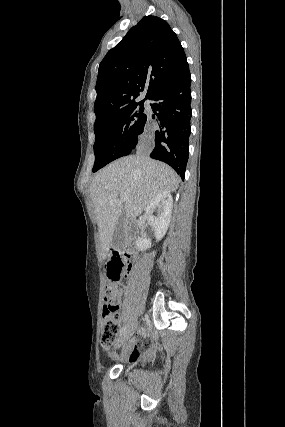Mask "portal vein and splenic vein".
<instances>
[{
    "label": "portal vein and splenic vein",
    "mask_w": 285,
    "mask_h": 427,
    "mask_svg": "<svg viewBox=\"0 0 285 427\" xmlns=\"http://www.w3.org/2000/svg\"><path fill=\"white\" fill-rule=\"evenodd\" d=\"M120 198L123 201H127V197L124 194H120Z\"/></svg>",
    "instance_id": "obj_1"
}]
</instances>
